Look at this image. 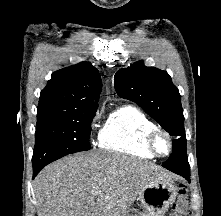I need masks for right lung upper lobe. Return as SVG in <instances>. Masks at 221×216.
Returning a JSON list of instances; mask_svg holds the SVG:
<instances>
[{
    "instance_id": "1",
    "label": "right lung upper lobe",
    "mask_w": 221,
    "mask_h": 216,
    "mask_svg": "<svg viewBox=\"0 0 221 216\" xmlns=\"http://www.w3.org/2000/svg\"><path fill=\"white\" fill-rule=\"evenodd\" d=\"M101 88L99 71L88 62L54 72L41 91L37 123L96 111Z\"/></svg>"
}]
</instances>
